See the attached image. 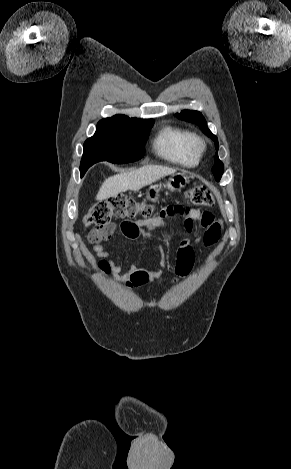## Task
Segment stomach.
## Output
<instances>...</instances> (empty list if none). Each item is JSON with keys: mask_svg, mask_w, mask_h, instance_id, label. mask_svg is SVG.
<instances>
[{"mask_svg": "<svg viewBox=\"0 0 291 469\" xmlns=\"http://www.w3.org/2000/svg\"><path fill=\"white\" fill-rule=\"evenodd\" d=\"M189 182V177L183 173H178L173 175L168 183H167V188L171 191L174 190H180L183 188L187 183ZM159 191L160 188L156 185L150 186V188L147 190L146 196L147 199L156 202L159 198Z\"/></svg>", "mask_w": 291, "mask_h": 469, "instance_id": "0dacf381", "label": "stomach"}]
</instances>
